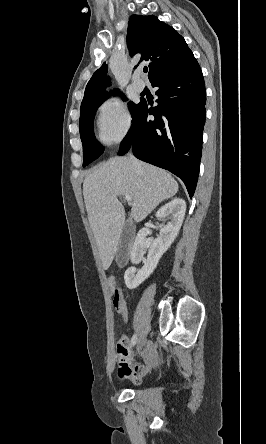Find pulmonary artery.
Wrapping results in <instances>:
<instances>
[{"label":"pulmonary artery","mask_w":266,"mask_h":444,"mask_svg":"<svg viewBox=\"0 0 266 444\" xmlns=\"http://www.w3.org/2000/svg\"><path fill=\"white\" fill-rule=\"evenodd\" d=\"M140 75V73L139 72H137L136 74H135V77L133 78V80H132V86H133V88H134V90L135 91H137V92H142L143 90H144V88H145V85H144V83L142 82V81H140V80H138L137 79V77Z\"/></svg>","instance_id":"e3ab8cb5"}]
</instances>
